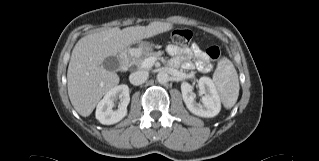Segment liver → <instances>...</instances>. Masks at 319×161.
Instances as JSON below:
<instances>
[{
  "mask_svg": "<svg viewBox=\"0 0 319 161\" xmlns=\"http://www.w3.org/2000/svg\"><path fill=\"white\" fill-rule=\"evenodd\" d=\"M172 28L171 23L155 21L147 26L101 30L81 38L72 50L67 72L68 95L75 110L83 117L89 116L103 95L119 83V76L102 65L107 57Z\"/></svg>",
  "mask_w": 319,
  "mask_h": 161,
  "instance_id": "obj_1",
  "label": "liver"
}]
</instances>
